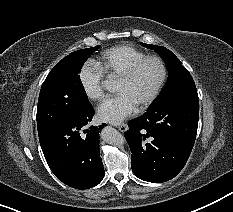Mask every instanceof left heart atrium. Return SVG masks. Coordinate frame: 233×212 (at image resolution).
I'll return each instance as SVG.
<instances>
[{
    "mask_svg": "<svg viewBox=\"0 0 233 212\" xmlns=\"http://www.w3.org/2000/svg\"><path fill=\"white\" fill-rule=\"evenodd\" d=\"M137 105L126 93L106 98L97 109L98 117L102 121L120 123L136 111Z\"/></svg>",
    "mask_w": 233,
    "mask_h": 212,
    "instance_id": "left-heart-atrium-1",
    "label": "left heart atrium"
}]
</instances>
